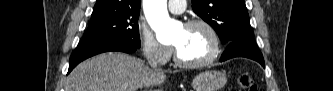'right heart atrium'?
I'll return each instance as SVG.
<instances>
[{
    "label": "right heart atrium",
    "mask_w": 333,
    "mask_h": 91,
    "mask_svg": "<svg viewBox=\"0 0 333 91\" xmlns=\"http://www.w3.org/2000/svg\"><path fill=\"white\" fill-rule=\"evenodd\" d=\"M137 37L144 57L151 63L166 64L173 53L170 46L162 44L144 22H139Z\"/></svg>",
    "instance_id": "obj_1"
}]
</instances>
